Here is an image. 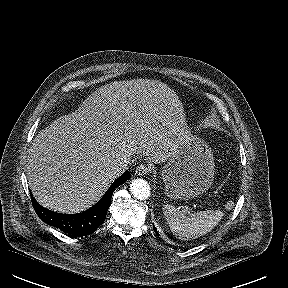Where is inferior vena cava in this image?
Wrapping results in <instances>:
<instances>
[{
	"label": "inferior vena cava",
	"mask_w": 288,
	"mask_h": 288,
	"mask_svg": "<svg viewBox=\"0 0 288 288\" xmlns=\"http://www.w3.org/2000/svg\"><path fill=\"white\" fill-rule=\"evenodd\" d=\"M130 161V157L121 156L115 159L110 165V171L112 174L116 175L118 173H122L128 166Z\"/></svg>",
	"instance_id": "obj_1"
}]
</instances>
